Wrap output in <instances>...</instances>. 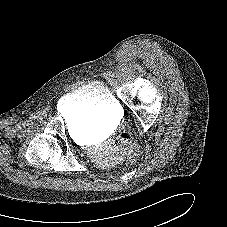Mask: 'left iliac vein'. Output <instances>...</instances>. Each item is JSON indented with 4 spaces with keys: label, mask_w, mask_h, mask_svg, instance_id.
Masks as SVG:
<instances>
[{
    "label": "left iliac vein",
    "mask_w": 227,
    "mask_h": 227,
    "mask_svg": "<svg viewBox=\"0 0 227 227\" xmlns=\"http://www.w3.org/2000/svg\"><path fill=\"white\" fill-rule=\"evenodd\" d=\"M112 83H115V81H114V80H112Z\"/></svg>",
    "instance_id": "left-iliac-vein-1"
}]
</instances>
